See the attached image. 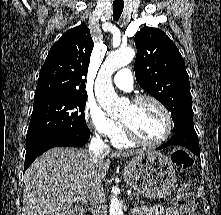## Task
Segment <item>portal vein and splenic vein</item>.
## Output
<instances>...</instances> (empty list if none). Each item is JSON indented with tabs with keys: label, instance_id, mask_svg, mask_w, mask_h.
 <instances>
[{
	"label": "portal vein and splenic vein",
	"instance_id": "18ae733b",
	"mask_svg": "<svg viewBox=\"0 0 221 215\" xmlns=\"http://www.w3.org/2000/svg\"><path fill=\"white\" fill-rule=\"evenodd\" d=\"M74 199H77V200H79V201H82L83 203H87V200H86V199H83V198H80V197H77V198L74 197ZM129 199L132 200L133 197H132V196H129Z\"/></svg>",
	"mask_w": 221,
	"mask_h": 215
}]
</instances>
